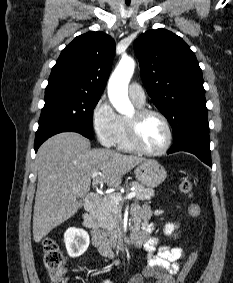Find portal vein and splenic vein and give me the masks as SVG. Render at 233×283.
<instances>
[{"mask_svg":"<svg viewBox=\"0 0 233 283\" xmlns=\"http://www.w3.org/2000/svg\"><path fill=\"white\" fill-rule=\"evenodd\" d=\"M100 174H101L100 172H94V173L92 174V177L95 178V177H97V176L100 175ZM135 195H136V193H135V191H133V192H130L129 194H127L124 198H123L121 195H115V194L110 195V197H111V199H112L113 201H115V202H120V201H122V200H124V199H131V198H134Z\"/></svg>","mask_w":233,"mask_h":283,"instance_id":"18ae733b","label":"portal vein and splenic vein"}]
</instances>
